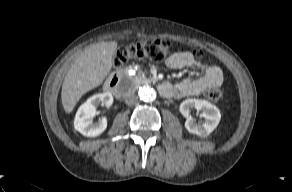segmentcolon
Segmentation results:
<instances>
[{
    "mask_svg": "<svg viewBox=\"0 0 292 192\" xmlns=\"http://www.w3.org/2000/svg\"><path fill=\"white\" fill-rule=\"evenodd\" d=\"M170 52V44L166 40H143L120 48L116 54L115 67H120L130 59H146L153 62L163 61ZM196 59L202 57L201 51H194ZM206 98L212 102H220L225 95V90L221 86H214L204 91Z\"/></svg>",
    "mask_w": 292,
    "mask_h": 192,
    "instance_id": "obj_1",
    "label": "colon"
}]
</instances>
